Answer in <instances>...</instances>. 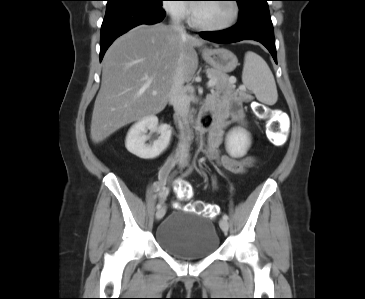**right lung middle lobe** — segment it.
Returning <instances> with one entry per match:
<instances>
[{
  "instance_id": "dd1d6c3e",
  "label": "right lung middle lobe",
  "mask_w": 365,
  "mask_h": 299,
  "mask_svg": "<svg viewBox=\"0 0 365 299\" xmlns=\"http://www.w3.org/2000/svg\"><path fill=\"white\" fill-rule=\"evenodd\" d=\"M107 9L114 7L128 5V4H151V5H162L163 0H107Z\"/></svg>"
}]
</instances>
